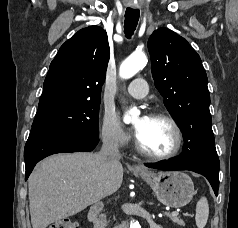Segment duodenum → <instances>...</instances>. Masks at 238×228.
Returning <instances> with one entry per match:
<instances>
[{
  "label": "duodenum",
  "mask_w": 238,
  "mask_h": 228,
  "mask_svg": "<svg viewBox=\"0 0 238 228\" xmlns=\"http://www.w3.org/2000/svg\"><path fill=\"white\" fill-rule=\"evenodd\" d=\"M103 206L100 203L94 204L88 211V219L94 224V228H104L103 220L100 218L102 214ZM129 223L119 226L118 228H128Z\"/></svg>",
  "instance_id": "duodenum-1"
}]
</instances>
